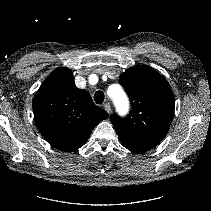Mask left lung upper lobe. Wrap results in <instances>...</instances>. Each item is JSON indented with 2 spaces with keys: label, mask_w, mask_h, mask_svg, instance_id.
Instances as JSON below:
<instances>
[{
  "label": "left lung upper lobe",
  "mask_w": 211,
  "mask_h": 211,
  "mask_svg": "<svg viewBox=\"0 0 211 211\" xmlns=\"http://www.w3.org/2000/svg\"><path fill=\"white\" fill-rule=\"evenodd\" d=\"M119 83L130 96L132 109L125 118L116 114L110 118L120 141L130 147H155L167 134L174 115L168 82L153 68L141 65L121 74Z\"/></svg>",
  "instance_id": "5c2ea615"
}]
</instances>
